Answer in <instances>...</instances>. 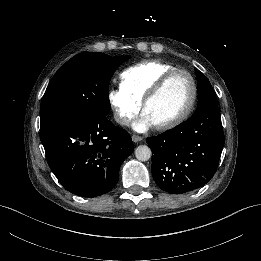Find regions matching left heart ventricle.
<instances>
[{
  "mask_svg": "<svg viewBox=\"0 0 261 261\" xmlns=\"http://www.w3.org/2000/svg\"><path fill=\"white\" fill-rule=\"evenodd\" d=\"M192 88L183 73L174 75L159 96L146 108L145 114L153 124H161L178 116L191 98Z\"/></svg>",
  "mask_w": 261,
  "mask_h": 261,
  "instance_id": "obj_1",
  "label": "left heart ventricle"
}]
</instances>
